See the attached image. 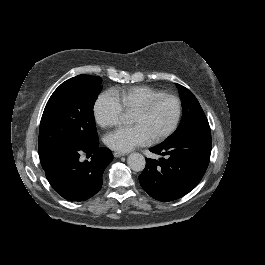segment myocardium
Here are the masks:
<instances>
[{"instance_id": "f54148a6", "label": "myocardium", "mask_w": 265, "mask_h": 265, "mask_svg": "<svg viewBox=\"0 0 265 265\" xmlns=\"http://www.w3.org/2000/svg\"><path fill=\"white\" fill-rule=\"evenodd\" d=\"M163 98L169 99L174 102L176 106L175 116L171 124L166 129H164L162 132H160L158 135L154 136L150 140L151 144H155V143L162 141L163 139L167 138L169 135H171L174 132L182 115V102L177 96L173 94L160 92L146 99L143 102V104L135 111L136 113H145L152 107V105L157 100L163 99Z\"/></svg>"}]
</instances>
